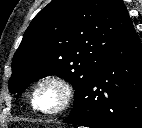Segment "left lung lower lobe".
Listing matches in <instances>:
<instances>
[{
	"mask_svg": "<svg viewBox=\"0 0 142 128\" xmlns=\"http://www.w3.org/2000/svg\"><path fill=\"white\" fill-rule=\"evenodd\" d=\"M63 122L89 128H142V45L137 34L107 54Z\"/></svg>",
	"mask_w": 142,
	"mask_h": 128,
	"instance_id": "1",
	"label": "left lung lower lobe"
}]
</instances>
